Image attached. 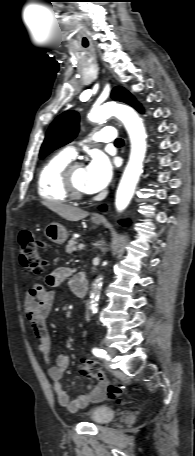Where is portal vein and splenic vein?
I'll use <instances>...</instances> for the list:
<instances>
[{
  "instance_id": "18ae733b",
  "label": "portal vein and splenic vein",
  "mask_w": 195,
  "mask_h": 456,
  "mask_svg": "<svg viewBox=\"0 0 195 456\" xmlns=\"http://www.w3.org/2000/svg\"><path fill=\"white\" fill-rule=\"evenodd\" d=\"M84 247H85L84 244H79V245H78V249H80V250L84 249Z\"/></svg>"
}]
</instances>
